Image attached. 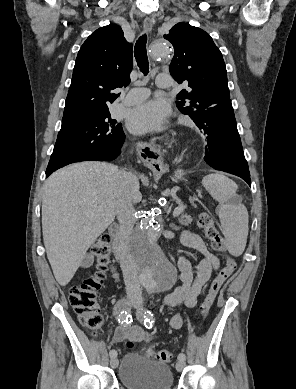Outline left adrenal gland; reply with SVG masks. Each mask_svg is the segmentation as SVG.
Instances as JSON below:
<instances>
[{
    "label": "left adrenal gland",
    "mask_w": 296,
    "mask_h": 389,
    "mask_svg": "<svg viewBox=\"0 0 296 389\" xmlns=\"http://www.w3.org/2000/svg\"><path fill=\"white\" fill-rule=\"evenodd\" d=\"M170 227H171L173 230H175V231H178V230H179V228H178L177 226H175L174 224H170Z\"/></svg>",
    "instance_id": "obj_1"
}]
</instances>
